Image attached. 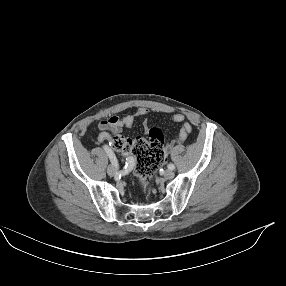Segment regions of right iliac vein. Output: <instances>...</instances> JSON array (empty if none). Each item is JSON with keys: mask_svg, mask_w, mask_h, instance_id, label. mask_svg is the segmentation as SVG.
I'll return each instance as SVG.
<instances>
[{"mask_svg": "<svg viewBox=\"0 0 286 286\" xmlns=\"http://www.w3.org/2000/svg\"><path fill=\"white\" fill-rule=\"evenodd\" d=\"M118 172V168L116 166L110 165L107 169V173L109 176H114Z\"/></svg>", "mask_w": 286, "mask_h": 286, "instance_id": "1", "label": "right iliac vein"}]
</instances>
